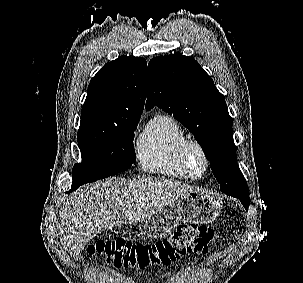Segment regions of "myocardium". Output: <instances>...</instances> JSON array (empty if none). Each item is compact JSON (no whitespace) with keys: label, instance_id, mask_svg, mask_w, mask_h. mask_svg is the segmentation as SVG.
<instances>
[{"label":"myocardium","instance_id":"myocardium-1","mask_svg":"<svg viewBox=\"0 0 303 283\" xmlns=\"http://www.w3.org/2000/svg\"><path fill=\"white\" fill-rule=\"evenodd\" d=\"M192 152H196L201 159L202 169L199 173H196L192 168L190 161ZM181 162L188 176L192 179L202 178L206 174L209 166L206 151L203 146L196 140H187L184 143L181 149Z\"/></svg>","mask_w":303,"mask_h":283}]
</instances>
